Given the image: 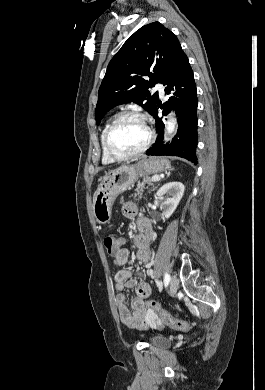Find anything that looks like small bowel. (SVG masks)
Segmentation results:
<instances>
[{"label":"small bowel","instance_id":"small-bowel-1","mask_svg":"<svg viewBox=\"0 0 265 390\" xmlns=\"http://www.w3.org/2000/svg\"><path fill=\"white\" fill-rule=\"evenodd\" d=\"M122 211L123 215L128 219L136 218L139 212L137 206L131 202L124 204ZM137 227L139 233L134 238V244L137 248L136 259L139 262L148 264L152 258V249L150 247L152 229L149 221L142 217L138 219ZM117 244L118 249L113 255V262L120 269L114 277L115 290L117 292L115 302L122 323L132 328L144 325H149L153 328L161 327L155 316L149 314L146 308V299L151 295L150 285L143 280H139L141 276L139 273L124 268L130 260V252L124 248L125 240L123 238H117ZM127 288L135 289V297L130 304L131 309H129L126 297L123 294Z\"/></svg>","mask_w":265,"mask_h":390}]
</instances>
